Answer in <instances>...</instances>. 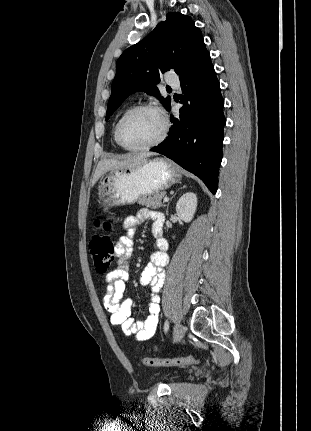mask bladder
<instances>
[{
    "instance_id": "bladder-1",
    "label": "bladder",
    "mask_w": 311,
    "mask_h": 431,
    "mask_svg": "<svg viewBox=\"0 0 311 431\" xmlns=\"http://www.w3.org/2000/svg\"><path fill=\"white\" fill-rule=\"evenodd\" d=\"M180 378H181V375L178 372H171L165 376V379L168 382H174L176 380H179Z\"/></svg>"
}]
</instances>
